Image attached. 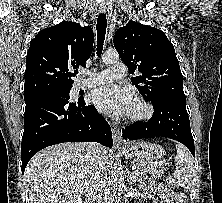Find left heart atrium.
<instances>
[{"label":"left heart atrium","instance_id":"left-heart-atrium-1","mask_svg":"<svg viewBox=\"0 0 222 203\" xmlns=\"http://www.w3.org/2000/svg\"><path fill=\"white\" fill-rule=\"evenodd\" d=\"M90 98L98 110L111 116L127 114L133 103L130 92L115 85L95 89Z\"/></svg>","mask_w":222,"mask_h":203}]
</instances>
